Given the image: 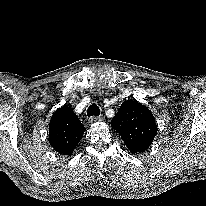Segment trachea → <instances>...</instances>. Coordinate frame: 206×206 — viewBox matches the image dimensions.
<instances>
[{
  "label": "trachea",
  "mask_w": 206,
  "mask_h": 206,
  "mask_svg": "<svg viewBox=\"0 0 206 206\" xmlns=\"http://www.w3.org/2000/svg\"><path fill=\"white\" fill-rule=\"evenodd\" d=\"M100 114V109L99 107L93 103L89 106L88 110H87V115L88 117H91V116H99Z\"/></svg>",
  "instance_id": "1"
}]
</instances>
